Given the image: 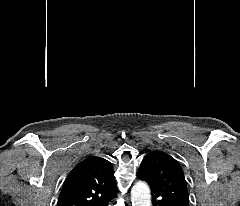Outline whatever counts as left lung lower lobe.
<instances>
[{
  "mask_svg": "<svg viewBox=\"0 0 240 206\" xmlns=\"http://www.w3.org/2000/svg\"><path fill=\"white\" fill-rule=\"evenodd\" d=\"M137 175L141 180H144V181L148 182L147 177L143 172L138 171ZM152 198L154 200L153 201V206H171V204L168 202V200L163 198L161 193H159L158 191H156L154 189H152Z\"/></svg>",
  "mask_w": 240,
  "mask_h": 206,
  "instance_id": "0a47b994",
  "label": "left lung lower lobe"
}]
</instances>
